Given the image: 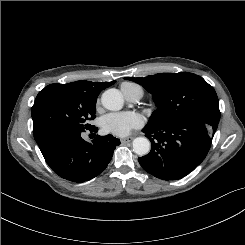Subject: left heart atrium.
Masks as SVG:
<instances>
[{
  "label": "left heart atrium",
  "mask_w": 245,
  "mask_h": 245,
  "mask_svg": "<svg viewBox=\"0 0 245 245\" xmlns=\"http://www.w3.org/2000/svg\"><path fill=\"white\" fill-rule=\"evenodd\" d=\"M100 124L105 133L122 137L140 127L143 124V118L134 112L109 113L102 117Z\"/></svg>",
  "instance_id": "left-heart-atrium-1"
}]
</instances>
